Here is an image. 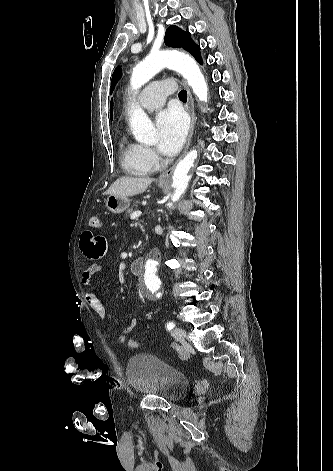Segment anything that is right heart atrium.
I'll return each instance as SVG.
<instances>
[{
	"label": "right heart atrium",
	"instance_id": "1",
	"mask_svg": "<svg viewBox=\"0 0 333 471\" xmlns=\"http://www.w3.org/2000/svg\"><path fill=\"white\" fill-rule=\"evenodd\" d=\"M143 157L145 161L152 167H155L159 162V157L155 151L149 147H143Z\"/></svg>",
	"mask_w": 333,
	"mask_h": 471
}]
</instances>
